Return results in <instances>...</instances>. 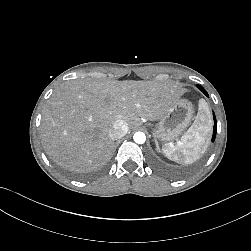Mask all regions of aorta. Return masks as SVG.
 I'll return each mask as SVG.
<instances>
[{
	"instance_id": "obj_1",
	"label": "aorta",
	"mask_w": 251,
	"mask_h": 251,
	"mask_svg": "<svg viewBox=\"0 0 251 251\" xmlns=\"http://www.w3.org/2000/svg\"><path fill=\"white\" fill-rule=\"evenodd\" d=\"M134 141L137 144H144L146 142V136L143 133H137L134 136Z\"/></svg>"
}]
</instances>
